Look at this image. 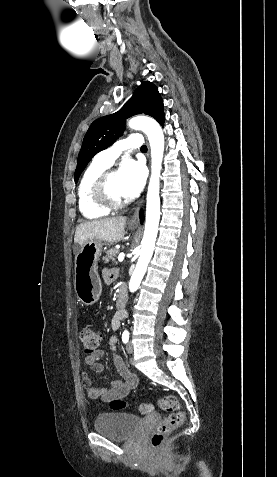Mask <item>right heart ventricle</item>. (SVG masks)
I'll return each instance as SVG.
<instances>
[{"label": "right heart ventricle", "instance_id": "1", "mask_svg": "<svg viewBox=\"0 0 277 477\" xmlns=\"http://www.w3.org/2000/svg\"><path fill=\"white\" fill-rule=\"evenodd\" d=\"M108 167L93 161L85 170L78 186V205L81 214L87 219H97L109 214V210L98 206L91 197V187L96 178Z\"/></svg>", "mask_w": 277, "mask_h": 477}]
</instances>
